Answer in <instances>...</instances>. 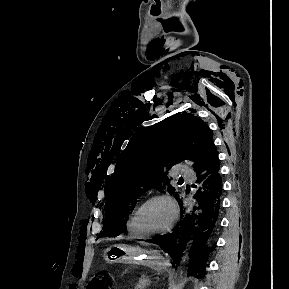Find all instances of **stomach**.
Listing matches in <instances>:
<instances>
[{
  "instance_id": "1",
  "label": "stomach",
  "mask_w": 289,
  "mask_h": 289,
  "mask_svg": "<svg viewBox=\"0 0 289 289\" xmlns=\"http://www.w3.org/2000/svg\"><path fill=\"white\" fill-rule=\"evenodd\" d=\"M107 263L139 264L156 270L164 268L165 259L158 252L125 244H115L104 250Z\"/></svg>"
}]
</instances>
